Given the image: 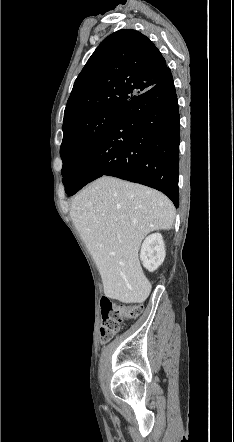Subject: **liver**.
Here are the masks:
<instances>
[{
  "mask_svg": "<svg viewBox=\"0 0 234 442\" xmlns=\"http://www.w3.org/2000/svg\"><path fill=\"white\" fill-rule=\"evenodd\" d=\"M70 217L96 263L104 294L123 303L144 302L151 283L139 248L150 232L172 227V202L157 190L103 176L75 196Z\"/></svg>",
  "mask_w": 234,
  "mask_h": 442,
  "instance_id": "liver-1",
  "label": "liver"
}]
</instances>
